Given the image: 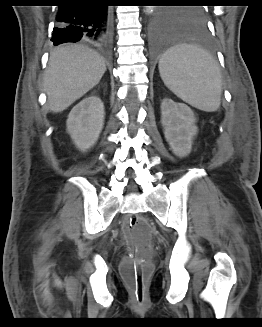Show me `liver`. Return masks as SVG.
Returning a JSON list of instances; mask_svg holds the SVG:
<instances>
[{
	"label": "liver",
	"mask_w": 262,
	"mask_h": 327,
	"mask_svg": "<svg viewBox=\"0 0 262 327\" xmlns=\"http://www.w3.org/2000/svg\"><path fill=\"white\" fill-rule=\"evenodd\" d=\"M105 71L104 59L92 49L75 44L54 49L43 82L50 111L65 110L96 86Z\"/></svg>",
	"instance_id": "obj_1"
}]
</instances>
